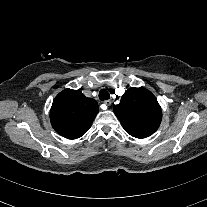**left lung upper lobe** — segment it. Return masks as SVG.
Listing matches in <instances>:
<instances>
[{"instance_id": "5c2ea615", "label": "left lung upper lobe", "mask_w": 207, "mask_h": 207, "mask_svg": "<svg viewBox=\"0 0 207 207\" xmlns=\"http://www.w3.org/2000/svg\"><path fill=\"white\" fill-rule=\"evenodd\" d=\"M114 113L131 136L145 138L159 127L162 111L156 97L145 88H129Z\"/></svg>"}]
</instances>
